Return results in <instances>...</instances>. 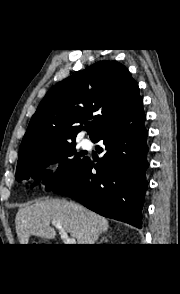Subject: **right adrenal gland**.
I'll return each instance as SVG.
<instances>
[{
	"label": "right adrenal gland",
	"instance_id": "obj_1",
	"mask_svg": "<svg viewBox=\"0 0 180 294\" xmlns=\"http://www.w3.org/2000/svg\"><path fill=\"white\" fill-rule=\"evenodd\" d=\"M102 241H107V238H102L100 241H99V243L98 244H100Z\"/></svg>",
	"mask_w": 180,
	"mask_h": 294
}]
</instances>
